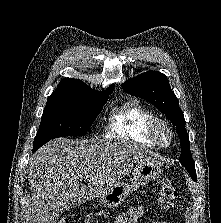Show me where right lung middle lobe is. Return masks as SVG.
I'll use <instances>...</instances> for the list:
<instances>
[{
  "label": "right lung middle lobe",
  "instance_id": "dd1d6c3e",
  "mask_svg": "<svg viewBox=\"0 0 221 223\" xmlns=\"http://www.w3.org/2000/svg\"><path fill=\"white\" fill-rule=\"evenodd\" d=\"M107 100L108 98L47 103L32 151L57 137L86 135Z\"/></svg>",
  "mask_w": 221,
  "mask_h": 223
}]
</instances>
